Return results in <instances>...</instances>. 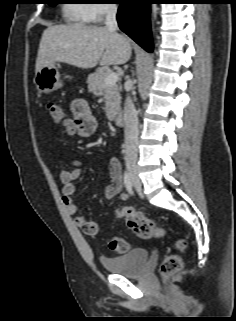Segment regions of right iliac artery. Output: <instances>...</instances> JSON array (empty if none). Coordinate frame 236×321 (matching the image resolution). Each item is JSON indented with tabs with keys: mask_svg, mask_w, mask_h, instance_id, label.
I'll use <instances>...</instances> for the list:
<instances>
[{
	"mask_svg": "<svg viewBox=\"0 0 236 321\" xmlns=\"http://www.w3.org/2000/svg\"><path fill=\"white\" fill-rule=\"evenodd\" d=\"M123 179L127 191L129 192V194H133L131 176L127 171L124 172Z\"/></svg>",
	"mask_w": 236,
	"mask_h": 321,
	"instance_id": "obj_1",
	"label": "right iliac artery"
}]
</instances>
